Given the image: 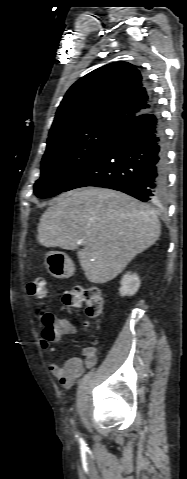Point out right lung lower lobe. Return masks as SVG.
<instances>
[{
    "label": "right lung lower lobe",
    "instance_id": "1",
    "mask_svg": "<svg viewBox=\"0 0 187 479\" xmlns=\"http://www.w3.org/2000/svg\"><path fill=\"white\" fill-rule=\"evenodd\" d=\"M165 143L162 117L154 103L150 110L132 119L64 191L98 186L143 202L162 200L168 185Z\"/></svg>",
    "mask_w": 187,
    "mask_h": 479
}]
</instances>
